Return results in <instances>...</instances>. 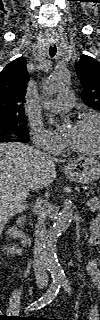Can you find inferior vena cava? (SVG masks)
<instances>
[{
  "instance_id": "obj_1",
  "label": "inferior vena cava",
  "mask_w": 100,
  "mask_h": 320,
  "mask_svg": "<svg viewBox=\"0 0 100 320\" xmlns=\"http://www.w3.org/2000/svg\"><path fill=\"white\" fill-rule=\"evenodd\" d=\"M46 155V154H45ZM46 157H51L46 155ZM33 212L37 216L34 239V260L33 268L36 281L39 283L48 282V274L44 259V242L47 236L46 219L50 214V203L47 198L38 197L33 206Z\"/></svg>"
}]
</instances>
